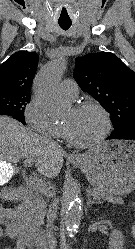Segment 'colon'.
<instances>
[{"instance_id":"obj_1","label":"colon","mask_w":135,"mask_h":249,"mask_svg":"<svg viewBox=\"0 0 135 249\" xmlns=\"http://www.w3.org/2000/svg\"><path fill=\"white\" fill-rule=\"evenodd\" d=\"M130 234L133 238H135V224H133L130 228Z\"/></svg>"}]
</instances>
